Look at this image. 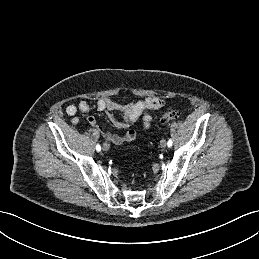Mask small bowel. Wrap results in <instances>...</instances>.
Segmentation results:
<instances>
[{"label":"small bowel","mask_w":259,"mask_h":259,"mask_svg":"<svg viewBox=\"0 0 259 259\" xmlns=\"http://www.w3.org/2000/svg\"><path fill=\"white\" fill-rule=\"evenodd\" d=\"M164 106V101L158 97H147L143 100L136 102L121 104L117 103L110 98H101L93 104L87 101H80L77 105L71 104L66 107V113L71 116V122L77 124L79 118L77 113H88L93 110L100 112H107L113 124L122 130V134L112 133L99 127L104 138L115 145H122L130 143L136 138V133L130 126L134 125L137 121L141 120L144 129H149L152 124L151 112L158 110ZM116 114H120L122 121L116 118ZM87 121L92 126H98L96 118L89 116Z\"/></svg>","instance_id":"1"}]
</instances>
